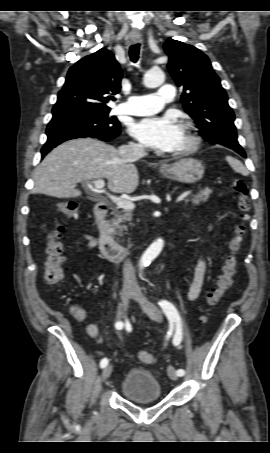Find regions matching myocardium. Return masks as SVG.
Segmentation results:
<instances>
[{
	"mask_svg": "<svg viewBox=\"0 0 270 453\" xmlns=\"http://www.w3.org/2000/svg\"><path fill=\"white\" fill-rule=\"evenodd\" d=\"M181 128L185 131L188 143L185 147L176 150L172 153L175 157L187 156L198 150L200 146V138L195 132L193 125L190 122H183Z\"/></svg>",
	"mask_w": 270,
	"mask_h": 453,
	"instance_id": "1",
	"label": "myocardium"
}]
</instances>
